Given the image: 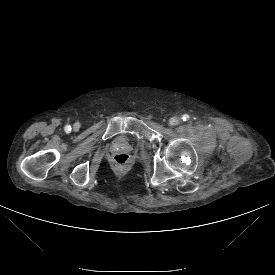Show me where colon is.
Instances as JSON below:
<instances>
[{
  "mask_svg": "<svg viewBox=\"0 0 275 275\" xmlns=\"http://www.w3.org/2000/svg\"><path fill=\"white\" fill-rule=\"evenodd\" d=\"M113 162L115 165L123 167L129 163V156L124 153L114 155Z\"/></svg>",
  "mask_w": 275,
  "mask_h": 275,
  "instance_id": "1",
  "label": "colon"
}]
</instances>
